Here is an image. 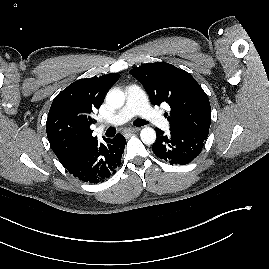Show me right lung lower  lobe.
I'll use <instances>...</instances> for the list:
<instances>
[{
	"label": "right lung lower lobe",
	"mask_w": 269,
	"mask_h": 269,
	"mask_svg": "<svg viewBox=\"0 0 269 269\" xmlns=\"http://www.w3.org/2000/svg\"><path fill=\"white\" fill-rule=\"evenodd\" d=\"M104 140L105 144L98 140L89 143L62 165L83 182H104L120 166L126 139L117 134L113 139Z\"/></svg>",
	"instance_id": "obj_1"
}]
</instances>
